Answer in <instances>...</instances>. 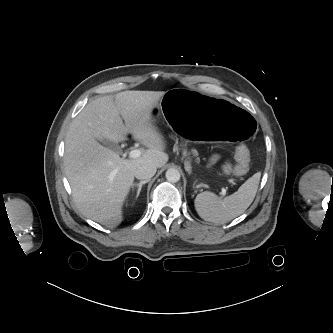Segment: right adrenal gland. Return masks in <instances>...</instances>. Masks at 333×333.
I'll use <instances>...</instances> for the list:
<instances>
[{"label": "right adrenal gland", "instance_id": "1", "mask_svg": "<svg viewBox=\"0 0 333 333\" xmlns=\"http://www.w3.org/2000/svg\"><path fill=\"white\" fill-rule=\"evenodd\" d=\"M150 180H144V181H140L139 183H134L132 185V191H134V188L137 187V194H136V198H138L140 192H141V189H142V186L146 183H148Z\"/></svg>", "mask_w": 333, "mask_h": 333}]
</instances>
